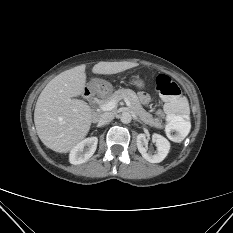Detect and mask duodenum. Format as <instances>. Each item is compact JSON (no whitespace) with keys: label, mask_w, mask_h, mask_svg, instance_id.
<instances>
[{"label":"duodenum","mask_w":233,"mask_h":233,"mask_svg":"<svg viewBox=\"0 0 233 233\" xmlns=\"http://www.w3.org/2000/svg\"><path fill=\"white\" fill-rule=\"evenodd\" d=\"M84 95L88 98H91L92 92L89 89H85ZM94 116L96 117L97 114H95Z\"/></svg>","instance_id":"obj_1"}]
</instances>
